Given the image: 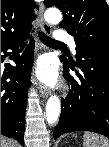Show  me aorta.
I'll list each match as a JSON object with an SVG mask.
<instances>
[{"label": "aorta", "instance_id": "obj_1", "mask_svg": "<svg viewBox=\"0 0 109 147\" xmlns=\"http://www.w3.org/2000/svg\"><path fill=\"white\" fill-rule=\"evenodd\" d=\"M44 19L50 24H58L62 20V14L57 8H49L44 14ZM61 111L60 100L58 96H51L46 104V119L49 124H54L59 118Z\"/></svg>", "mask_w": 109, "mask_h": 147}]
</instances>
